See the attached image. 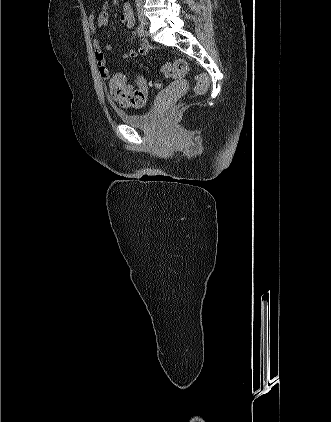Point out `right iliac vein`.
I'll return each instance as SVG.
<instances>
[{"mask_svg":"<svg viewBox=\"0 0 331 422\" xmlns=\"http://www.w3.org/2000/svg\"><path fill=\"white\" fill-rule=\"evenodd\" d=\"M139 20H140V23H141L142 26L146 25V19L143 16H140Z\"/></svg>","mask_w":331,"mask_h":422,"instance_id":"1","label":"right iliac vein"}]
</instances>
